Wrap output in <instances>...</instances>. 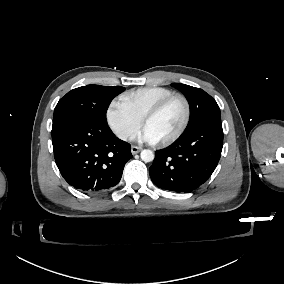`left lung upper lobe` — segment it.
<instances>
[{
  "label": "left lung upper lobe",
  "mask_w": 284,
  "mask_h": 284,
  "mask_svg": "<svg viewBox=\"0 0 284 284\" xmlns=\"http://www.w3.org/2000/svg\"><path fill=\"white\" fill-rule=\"evenodd\" d=\"M187 98L190 105V120L187 128L206 121H221L220 109L216 101L202 89L185 84L173 83Z\"/></svg>",
  "instance_id": "5c2ea615"
}]
</instances>
